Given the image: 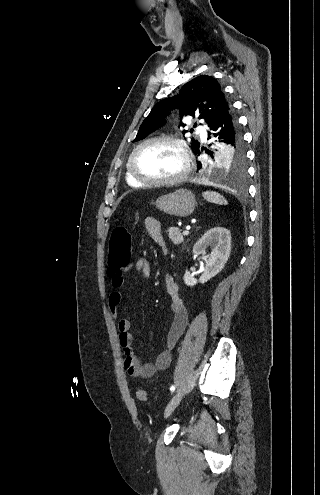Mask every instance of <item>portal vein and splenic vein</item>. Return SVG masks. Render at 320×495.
Masks as SVG:
<instances>
[{
    "label": "portal vein and splenic vein",
    "mask_w": 320,
    "mask_h": 495,
    "mask_svg": "<svg viewBox=\"0 0 320 495\" xmlns=\"http://www.w3.org/2000/svg\"><path fill=\"white\" fill-rule=\"evenodd\" d=\"M182 234H183V235H189V231L185 230V231H183V233H182Z\"/></svg>",
    "instance_id": "1"
}]
</instances>
